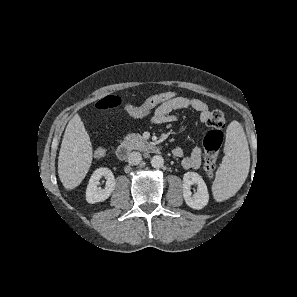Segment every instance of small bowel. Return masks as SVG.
I'll return each mask as SVG.
<instances>
[{
  "instance_id": "1",
  "label": "small bowel",
  "mask_w": 297,
  "mask_h": 297,
  "mask_svg": "<svg viewBox=\"0 0 297 297\" xmlns=\"http://www.w3.org/2000/svg\"><path fill=\"white\" fill-rule=\"evenodd\" d=\"M187 108L197 111L200 121L207 123L210 115L209 107L203 100L195 97L177 96L148 110H144L141 105L125 104L126 111L135 118L143 117L153 110L151 120L155 124L173 122L177 119L175 112ZM172 153L175 157L182 158V166L186 169H198L201 165L202 151L199 147H195L188 155H184L180 147L174 148Z\"/></svg>"
}]
</instances>
